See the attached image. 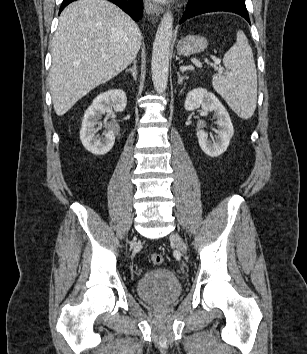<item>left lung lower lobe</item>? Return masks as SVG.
<instances>
[{"mask_svg":"<svg viewBox=\"0 0 307 354\" xmlns=\"http://www.w3.org/2000/svg\"><path fill=\"white\" fill-rule=\"evenodd\" d=\"M215 11L233 12L250 23L245 0H189L180 23L194 16Z\"/></svg>","mask_w":307,"mask_h":354,"instance_id":"left-lung-lower-lobe-1","label":"left lung lower lobe"}]
</instances>
